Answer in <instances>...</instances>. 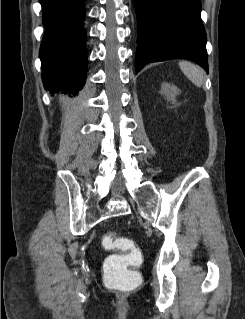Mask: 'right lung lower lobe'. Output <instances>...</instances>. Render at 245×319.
I'll use <instances>...</instances> for the list:
<instances>
[{
    "label": "right lung lower lobe",
    "mask_w": 245,
    "mask_h": 319,
    "mask_svg": "<svg viewBox=\"0 0 245 319\" xmlns=\"http://www.w3.org/2000/svg\"><path fill=\"white\" fill-rule=\"evenodd\" d=\"M39 1L45 26L40 47L44 87L75 94L83 87L87 72L85 0Z\"/></svg>",
    "instance_id": "1"
}]
</instances>
